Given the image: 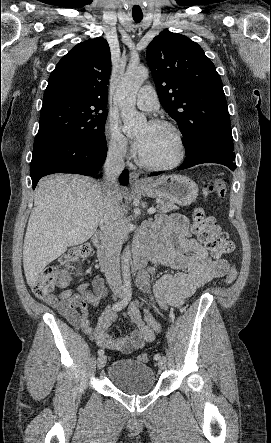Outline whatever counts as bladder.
Masks as SVG:
<instances>
[{
  "label": "bladder",
  "mask_w": 271,
  "mask_h": 443,
  "mask_svg": "<svg viewBox=\"0 0 271 443\" xmlns=\"http://www.w3.org/2000/svg\"><path fill=\"white\" fill-rule=\"evenodd\" d=\"M108 377L115 387L132 395L148 393L156 383L149 365L129 358L114 361L108 368Z\"/></svg>",
  "instance_id": "obj_1"
}]
</instances>
